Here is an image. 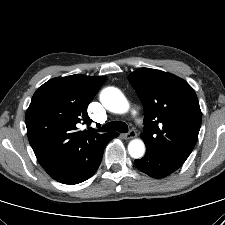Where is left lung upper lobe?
I'll return each instance as SVG.
<instances>
[{
	"label": "left lung upper lobe",
	"mask_w": 225,
	"mask_h": 225,
	"mask_svg": "<svg viewBox=\"0 0 225 225\" xmlns=\"http://www.w3.org/2000/svg\"><path fill=\"white\" fill-rule=\"evenodd\" d=\"M144 106L146 147L185 162L200 130L202 113L193 88L164 71L141 68L128 77Z\"/></svg>",
	"instance_id": "left-lung-upper-lobe-1"
}]
</instances>
